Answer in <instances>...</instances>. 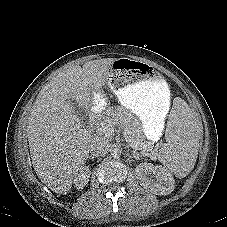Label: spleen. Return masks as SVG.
<instances>
[{"label":"spleen","instance_id":"1","mask_svg":"<svg viewBox=\"0 0 227 227\" xmlns=\"http://www.w3.org/2000/svg\"><path fill=\"white\" fill-rule=\"evenodd\" d=\"M171 113L166 131L168 143L159 153L166 169L176 177L182 178L194 168L198 155L200 127L191 115L190 102L185 99L174 101Z\"/></svg>","mask_w":227,"mask_h":227}]
</instances>
